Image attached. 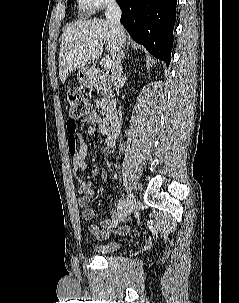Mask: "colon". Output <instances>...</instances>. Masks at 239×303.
I'll list each match as a JSON object with an SVG mask.
<instances>
[{"label":"colon","mask_w":239,"mask_h":303,"mask_svg":"<svg viewBox=\"0 0 239 303\" xmlns=\"http://www.w3.org/2000/svg\"><path fill=\"white\" fill-rule=\"evenodd\" d=\"M68 112L70 120L67 127L71 132L75 130V120L88 115L91 112V106L88 99L78 90L71 89L67 93Z\"/></svg>","instance_id":"1"}]
</instances>
